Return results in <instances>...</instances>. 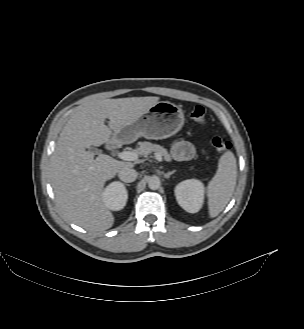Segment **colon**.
<instances>
[{
    "label": "colon",
    "mask_w": 304,
    "mask_h": 329,
    "mask_svg": "<svg viewBox=\"0 0 304 329\" xmlns=\"http://www.w3.org/2000/svg\"><path fill=\"white\" fill-rule=\"evenodd\" d=\"M190 116L195 122L202 124L206 119V110L202 106H196ZM212 145L219 153H226L231 149V143L222 136H215Z\"/></svg>",
    "instance_id": "colon-1"
}]
</instances>
